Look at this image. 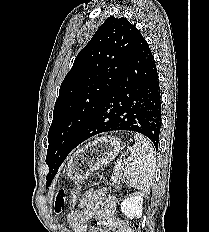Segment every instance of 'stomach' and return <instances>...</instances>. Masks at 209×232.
<instances>
[{
	"label": "stomach",
	"instance_id": "0dacf381",
	"mask_svg": "<svg viewBox=\"0 0 209 232\" xmlns=\"http://www.w3.org/2000/svg\"><path fill=\"white\" fill-rule=\"evenodd\" d=\"M123 148V143L114 136L95 139L71 156L66 166V174L74 181H82L93 171L110 164Z\"/></svg>",
	"mask_w": 209,
	"mask_h": 232
}]
</instances>
